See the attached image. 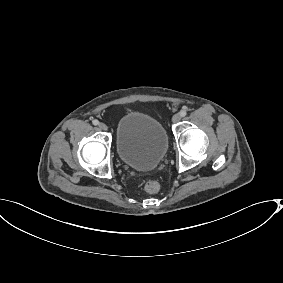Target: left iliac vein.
Masks as SVG:
<instances>
[{"mask_svg": "<svg viewBox=\"0 0 283 283\" xmlns=\"http://www.w3.org/2000/svg\"><path fill=\"white\" fill-rule=\"evenodd\" d=\"M181 120V115L180 114H175V115H173V117H172V122L173 123H177V122H179Z\"/></svg>", "mask_w": 283, "mask_h": 283, "instance_id": "left-iliac-vein-1", "label": "left iliac vein"}]
</instances>
